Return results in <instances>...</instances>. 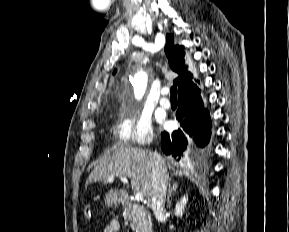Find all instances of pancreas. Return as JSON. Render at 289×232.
<instances>
[{"instance_id":"obj_1","label":"pancreas","mask_w":289,"mask_h":232,"mask_svg":"<svg viewBox=\"0 0 289 232\" xmlns=\"http://www.w3.org/2000/svg\"><path fill=\"white\" fill-rule=\"evenodd\" d=\"M123 217L126 221H130V227L135 232H151V216L143 206L129 205L125 208Z\"/></svg>"}]
</instances>
